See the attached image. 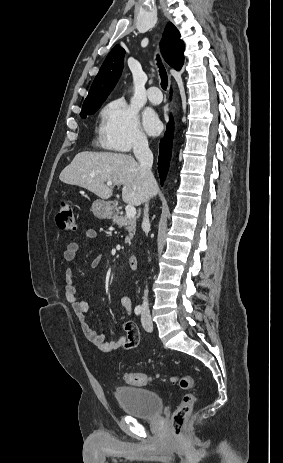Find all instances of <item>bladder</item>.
<instances>
[{"label":"bladder","mask_w":283,"mask_h":463,"mask_svg":"<svg viewBox=\"0 0 283 463\" xmlns=\"http://www.w3.org/2000/svg\"><path fill=\"white\" fill-rule=\"evenodd\" d=\"M114 396L123 412L138 418L154 419L163 408L161 397L152 390L140 387H120Z\"/></svg>","instance_id":"bladder-1"}]
</instances>
